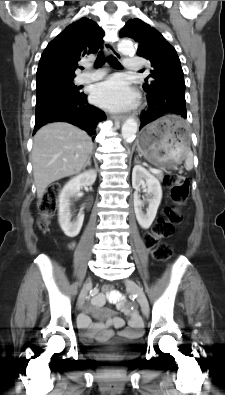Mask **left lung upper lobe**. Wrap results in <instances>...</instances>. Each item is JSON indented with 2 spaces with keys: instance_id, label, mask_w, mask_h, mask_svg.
Instances as JSON below:
<instances>
[{
  "instance_id": "left-lung-upper-lobe-1",
  "label": "left lung upper lobe",
  "mask_w": 225,
  "mask_h": 395,
  "mask_svg": "<svg viewBox=\"0 0 225 395\" xmlns=\"http://www.w3.org/2000/svg\"><path fill=\"white\" fill-rule=\"evenodd\" d=\"M139 43L137 55L151 62L153 80L143 85L148 94L185 92L184 74L176 50L160 32L142 20L130 19L119 33Z\"/></svg>"
}]
</instances>
